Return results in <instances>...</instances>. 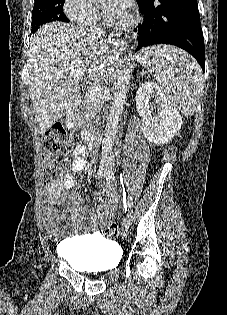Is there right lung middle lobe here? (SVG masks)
Segmentation results:
<instances>
[{"mask_svg":"<svg viewBox=\"0 0 227 315\" xmlns=\"http://www.w3.org/2000/svg\"><path fill=\"white\" fill-rule=\"evenodd\" d=\"M65 0H35L32 12V33L37 27L52 21L69 22L64 15L63 5Z\"/></svg>","mask_w":227,"mask_h":315,"instance_id":"obj_1","label":"right lung middle lobe"}]
</instances>
